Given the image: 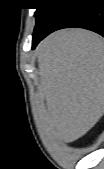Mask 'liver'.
<instances>
[{
  "instance_id": "6515ba94",
  "label": "liver",
  "mask_w": 104,
  "mask_h": 169,
  "mask_svg": "<svg viewBox=\"0 0 104 169\" xmlns=\"http://www.w3.org/2000/svg\"><path fill=\"white\" fill-rule=\"evenodd\" d=\"M46 129L64 142L84 136L104 112V40L85 29L52 33L36 49Z\"/></svg>"
}]
</instances>
